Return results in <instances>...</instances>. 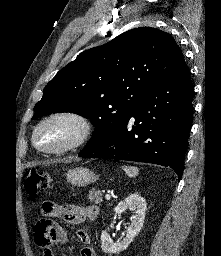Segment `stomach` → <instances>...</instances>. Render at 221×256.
I'll return each mask as SVG.
<instances>
[{"label": "stomach", "mask_w": 221, "mask_h": 256, "mask_svg": "<svg viewBox=\"0 0 221 256\" xmlns=\"http://www.w3.org/2000/svg\"><path fill=\"white\" fill-rule=\"evenodd\" d=\"M66 176L67 181L77 187L87 186L94 183L99 178V175H96L93 171L85 167L70 169Z\"/></svg>", "instance_id": "obj_1"}]
</instances>
